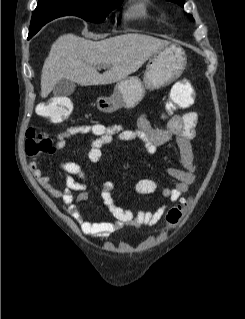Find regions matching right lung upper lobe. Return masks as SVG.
<instances>
[{
  "label": "right lung upper lobe",
  "instance_id": "cb5924a9",
  "mask_svg": "<svg viewBox=\"0 0 245 319\" xmlns=\"http://www.w3.org/2000/svg\"><path fill=\"white\" fill-rule=\"evenodd\" d=\"M58 1L68 0H39L37 8L32 15V19H35L37 24L30 25V35H34L47 22L60 17L59 7L54 4V2Z\"/></svg>",
  "mask_w": 245,
  "mask_h": 319
}]
</instances>
